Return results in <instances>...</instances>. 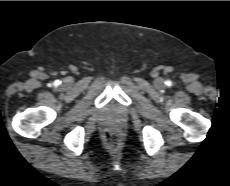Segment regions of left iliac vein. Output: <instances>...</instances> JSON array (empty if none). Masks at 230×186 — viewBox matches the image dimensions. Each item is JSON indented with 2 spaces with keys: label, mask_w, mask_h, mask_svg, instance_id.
I'll return each instance as SVG.
<instances>
[{
  "label": "left iliac vein",
  "mask_w": 230,
  "mask_h": 186,
  "mask_svg": "<svg viewBox=\"0 0 230 186\" xmlns=\"http://www.w3.org/2000/svg\"><path fill=\"white\" fill-rule=\"evenodd\" d=\"M156 86L158 87H162L163 84H164V81L162 79H157L156 82H155Z\"/></svg>",
  "instance_id": "obj_1"
}]
</instances>
